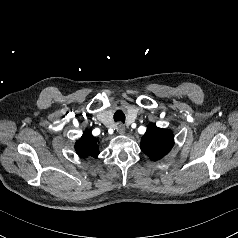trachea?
<instances>
[{
	"label": "trachea",
	"mask_w": 238,
	"mask_h": 238,
	"mask_svg": "<svg viewBox=\"0 0 238 238\" xmlns=\"http://www.w3.org/2000/svg\"><path fill=\"white\" fill-rule=\"evenodd\" d=\"M114 120H115V122L120 121V122L124 123L125 122V114L121 110H117L114 113Z\"/></svg>",
	"instance_id": "3493384b"
}]
</instances>
